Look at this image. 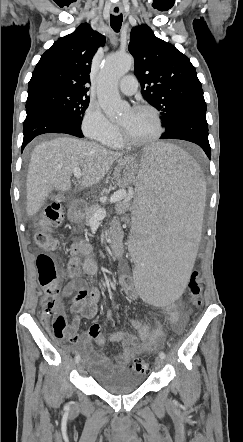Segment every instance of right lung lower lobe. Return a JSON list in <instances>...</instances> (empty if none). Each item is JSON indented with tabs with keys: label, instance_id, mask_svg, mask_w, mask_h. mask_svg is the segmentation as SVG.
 <instances>
[{
	"label": "right lung lower lobe",
	"instance_id": "1",
	"mask_svg": "<svg viewBox=\"0 0 243 442\" xmlns=\"http://www.w3.org/2000/svg\"><path fill=\"white\" fill-rule=\"evenodd\" d=\"M26 113L22 150L32 139L44 133H66L83 137L81 127L53 106L31 104L26 106Z\"/></svg>",
	"mask_w": 243,
	"mask_h": 442
}]
</instances>
